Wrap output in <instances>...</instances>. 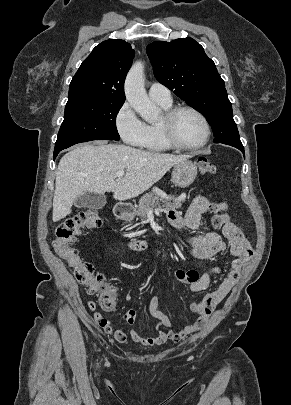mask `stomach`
I'll return each mask as SVG.
<instances>
[{
    "label": "stomach",
    "instance_id": "obj_1",
    "mask_svg": "<svg viewBox=\"0 0 291 405\" xmlns=\"http://www.w3.org/2000/svg\"><path fill=\"white\" fill-rule=\"evenodd\" d=\"M197 176V167L196 165L189 161L184 160L177 163L172 171V182L175 186L180 188H186L190 186ZM123 220L130 221L134 217L133 212L123 213L120 216Z\"/></svg>",
    "mask_w": 291,
    "mask_h": 405
}]
</instances>
